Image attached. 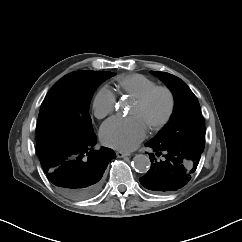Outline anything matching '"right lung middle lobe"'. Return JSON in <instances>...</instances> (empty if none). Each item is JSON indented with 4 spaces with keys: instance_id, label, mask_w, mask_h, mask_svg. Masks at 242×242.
Wrapping results in <instances>:
<instances>
[{
    "instance_id": "dd1d6c3e",
    "label": "right lung middle lobe",
    "mask_w": 242,
    "mask_h": 242,
    "mask_svg": "<svg viewBox=\"0 0 242 242\" xmlns=\"http://www.w3.org/2000/svg\"><path fill=\"white\" fill-rule=\"evenodd\" d=\"M113 75L112 72L88 71L81 75L67 74L57 81L40 107L37 144L57 135L85 138L93 133L90 100L96 88Z\"/></svg>"
}]
</instances>
